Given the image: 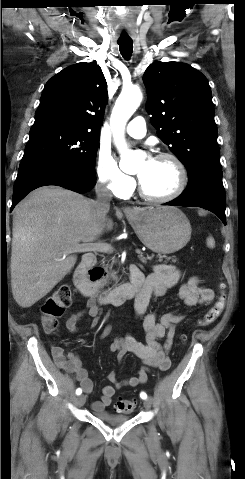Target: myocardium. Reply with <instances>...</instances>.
Listing matches in <instances>:
<instances>
[{
	"label": "myocardium",
	"mask_w": 245,
	"mask_h": 479,
	"mask_svg": "<svg viewBox=\"0 0 245 479\" xmlns=\"http://www.w3.org/2000/svg\"><path fill=\"white\" fill-rule=\"evenodd\" d=\"M154 159H167L170 160L177 171V182L175 188L168 194L163 195V196H152L149 195L143 188L140 180H138L137 183V190L141 198L144 200L151 202V203H167L170 202L174 199H176L178 196L181 195V193L184 191L186 184H187V170L181 159L175 155L174 153L171 152H160L158 153Z\"/></svg>",
	"instance_id": "obj_1"
}]
</instances>
